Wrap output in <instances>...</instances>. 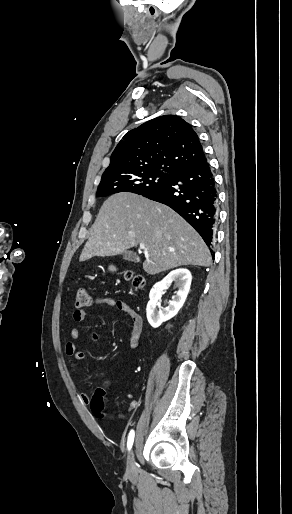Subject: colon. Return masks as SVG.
I'll use <instances>...</instances> for the list:
<instances>
[{"label":"colon","mask_w":292,"mask_h":514,"mask_svg":"<svg viewBox=\"0 0 292 514\" xmlns=\"http://www.w3.org/2000/svg\"><path fill=\"white\" fill-rule=\"evenodd\" d=\"M125 276L128 280L132 282V285L135 288H139L143 285V277L141 275H136L132 271H126ZM90 306V298L88 292L85 289H79L76 293L75 300V311L86 310ZM103 390L100 389L98 393H96L91 400V411L94 413L93 417L96 420H100L103 417L104 410V398H103Z\"/></svg>","instance_id":"1"}]
</instances>
